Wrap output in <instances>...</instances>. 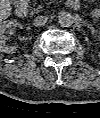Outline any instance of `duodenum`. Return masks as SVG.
Masks as SVG:
<instances>
[{
  "instance_id": "duodenum-1",
  "label": "duodenum",
  "mask_w": 100,
  "mask_h": 118,
  "mask_svg": "<svg viewBox=\"0 0 100 118\" xmlns=\"http://www.w3.org/2000/svg\"><path fill=\"white\" fill-rule=\"evenodd\" d=\"M68 4L71 8L79 7V0H68ZM28 11V3L25 0H21L16 6V13L18 16H25Z\"/></svg>"
}]
</instances>
